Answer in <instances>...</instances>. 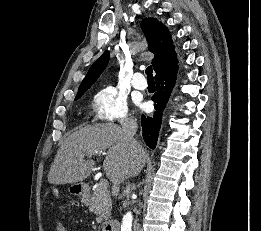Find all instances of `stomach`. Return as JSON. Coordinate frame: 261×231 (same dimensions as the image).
Wrapping results in <instances>:
<instances>
[{
	"label": "stomach",
	"instance_id": "stomach-1",
	"mask_svg": "<svg viewBox=\"0 0 261 231\" xmlns=\"http://www.w3.org/2000/svg\"><path fill=\"white\" fill-rule=\"evenodd\" d=\"M69 191L73 194L80 195L83 191V185L80 183H75L69 188Z\"/></svg>",
	"mask_w": 261,
	"mask_h": 231
}]
</instances>
